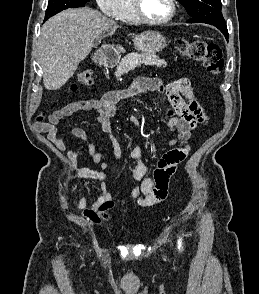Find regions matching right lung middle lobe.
Returning a JSON list of instances; mask_svg holds the SVG:
<instances>
[{
    "mask_svg": "<svg viewBox=\"0 0 259 294\" xmlns=\"http://www.w3.org/2000/svg\"><path fill=\"white\" fill-rule=\"evenodd\" d=\"M89 1L90 0H49L44 20L68 8L84 7L85 3Z\"/></svg>",
    "mask_w": 259,
    "mask_h": 294,
    "instance_id": "obj_1",
    "label": "right lung middle lobe"
}]
</instances>
